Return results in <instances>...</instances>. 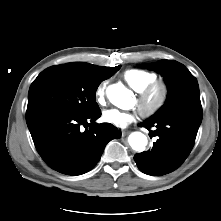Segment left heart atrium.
Returning a JSON list of instances; mask_svg holds the SVG:
<instances>
[{"mask_svg": "<svg viewBox=\"0 0 221 221\" xmlns=\"http://www.w3.org/2000/svg\"><path fill=\"white\" fill-rule=\"evenodd\" d=\"M136 115L132 112L121 111L118 109H109L103 112V120L117 127L125 128L133 122Z\"/></svg>", "mask_w": 221, "mask_h": 221, "instance_id": "39dd6f15", "label": "left heart atrium"}]
</instances>
